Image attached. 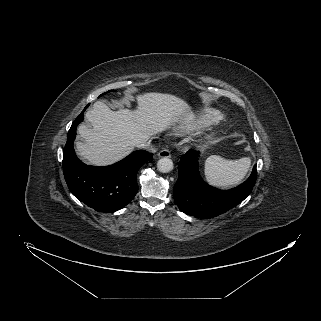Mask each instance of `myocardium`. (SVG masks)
<instances>
[{"instance_id": "1", "label": "myocardium", "mask_w": 321, "mask_h": 321, "mask_svg": "<svg viewBox=\"0 0 321 321\" xmlns=\"http://www.w3.org/2000/svg\"><path fill=\"white\" fill-rule=\"evenodd\" d=\"M212 140V135H207L206 137H204L203 142H210Z\"/></svg>"}]
</instances>
